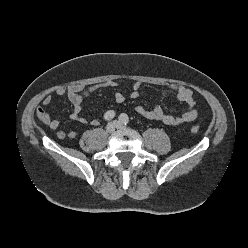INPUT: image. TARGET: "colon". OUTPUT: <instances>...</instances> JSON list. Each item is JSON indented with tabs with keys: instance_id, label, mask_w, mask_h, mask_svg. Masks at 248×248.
Returning <instances> with one entry per match:
<instances>
[{
	"instance_id": "colon-1",
	"label": "colon",
	"mask_w": 248,
	"mask_h": 248,
	"mask_svg": "<svg viewBox=\"0 0 248 248\" xmlns=\"http://www.w3.org/2000/svg\"><path fill=\"white\" fill-rule=\"evenodd\" d=\"M191 132L192 133H198L199 132V126L198 125L191 126Z\"/></svg>"
}]
</instances>
